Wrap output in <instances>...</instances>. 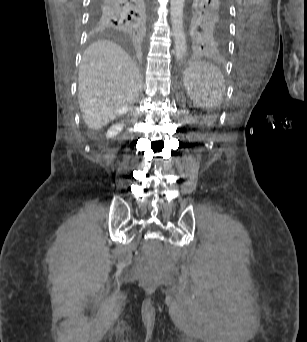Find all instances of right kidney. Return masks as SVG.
<instances>
[{"instance_id":"1","label":"right kidney","mask_w":307,"mask_h":342,"mask_svg":"<svg viewBox=\"0 0 307 342\" xmlns=\"http://www.w3.org/2000/svg\"><path fill=\"white\" fill-rule=\"evenodd\" d=\"M124 126L123 124H115V126H111L109 130H107V138H113V136H117L121 130H123Z\"/></svg>"}]
</instances>
